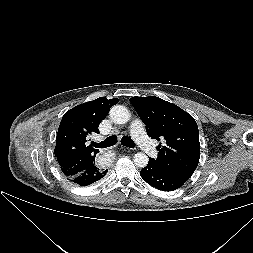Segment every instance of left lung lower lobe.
Returning <instances> with one entry per match:
<instances>
[{"label":"left lung lower lobe","mask_w":253,"mask_h":253,"mask_svg":"<svg viewBox=\"0 0 253 253\" xmlns=\"http://www.w3.org/2000/svg\"><path fill=\"white\" fill-rule=\"evenodd\" d=\"M141 177L152 187L162 191H173L181 187L185 182L165 172L149 159V163L141 172Z\"/></svg>","instance_id":"0a47b994"}]
</instances>
